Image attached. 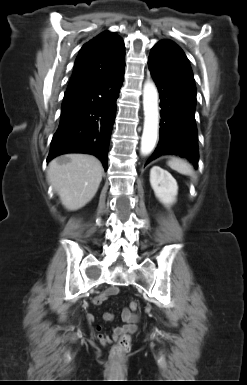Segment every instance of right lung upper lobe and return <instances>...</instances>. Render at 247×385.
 I'll return each instance as SVG.
<instances>
[{
  "label": "right lung upper lobe",
  "instance_id": "right-lung-upper-lobe-1",
  "mask_svg": "<svg viewBox=\"0 0 247 385\" xmlns=\"http://www.w3.org/2000/svg\"><path fill=\"white\" fill-rule=\"evenodd\" d=\"M124 65L122 38L113 32H102L81 48L67 91L111 75Z\"/></svg>",
  "mask_w": 247,
  "mask_h": 385
}]
</instances>
